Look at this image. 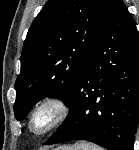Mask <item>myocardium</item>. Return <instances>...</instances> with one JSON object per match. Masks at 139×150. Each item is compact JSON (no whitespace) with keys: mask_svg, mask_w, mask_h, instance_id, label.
<instances>
[{"mask_svg":"<svg viewBox=\"0 0 139 150\" xmlns=\"http://www.w3.org/2000/svg\"><path fill=\"white\" fill-rule=\"evenodd\" d=\"M43 112L50 113V120L44 128L36 130L34 128V121ZM69 114L70 106L63 97L58 95L46 96L39 100L30 111L27 121L28 131L37 137L44 136L62 125Z\"/></svg>","mask_w":139,"mask_h":150,"instance_id":"1","label":"myocardium"}]
</instances>
